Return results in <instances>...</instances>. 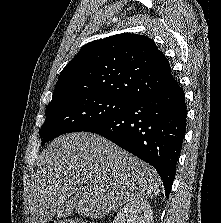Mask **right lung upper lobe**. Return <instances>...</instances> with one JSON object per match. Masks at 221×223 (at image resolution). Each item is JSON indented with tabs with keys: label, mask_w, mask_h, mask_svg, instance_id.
I'll list each match as a JSON object with an SVG mask.
<instances>
[{
	"label": "right lung upper lobe",
	"mask_w": 221,
	"mask_h": 223,
	"mask_svg": "<svg viewBox=\"0 0 221 223\" xmlns=\"http://www.w3.org/2000/svg\"><path fill=\"white\" fill-rule=\"evenodd\" d=\"M177 85L151 39L123 33L83 46L61 71L50 103L83 95L134 102Z\"/></svg>",
	"instance_id": "right-lung-upper-lobe-1"
}]
</instances>
